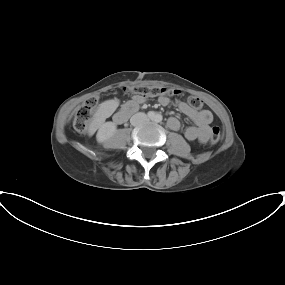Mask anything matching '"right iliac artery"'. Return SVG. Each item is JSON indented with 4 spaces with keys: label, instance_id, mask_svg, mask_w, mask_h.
<instances>
[{
    "label": "right iliac artery",
    "instance_id": "1",
    "mask_svg": "<svg viewBox=\"0 0 285 285\" xmlns=\"http://www.w3.org/2000/svg\"><path fill=\"white\" fill-rule=\"evenodd\" d=\"M154 116H155V114H154V112H152V111H150V112H148V117L149 118H154Z\"/></svg>",
    "mask_w": 285,
    "mask_h": 285
}]
</instances>
